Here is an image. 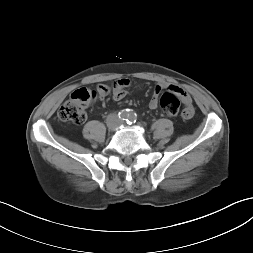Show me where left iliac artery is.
I'll return each mask as SVG.
<instances>
[{
	"label": "left iliac artery",
	"mask_w": 253,
	"mask_h": 253,
	"mask_svg": "<svg viewBox=\"0 0 253 253\" xmlns=\"http://www.w3.org/2000/svg\"><path fill=\"white\" fill-rule=\"evenodd\" d=\"M137 121V115L134 112L129 113V117L127 119V123L133 124Z\"/></svg>",
	"instance_id": "1"
}]
</instances>
